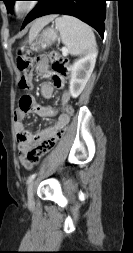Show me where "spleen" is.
Instances as JSON below:
<instances>
[{"mask_svg":"<svg viewBox=\"0 0 133 253\" xmlns=\"http://www.w3.org/2000/svg\"><path fill=\"white\" fill-rule=\"evenodd\" d=\"M62 43L73 56L92 51L96 45L94 33L89 25L79 19L63 15L55 20Z\"/></svg>","mask_w":133,"mask_h":253,"instance_id":"1","label":"spleen"}]
</instances>
